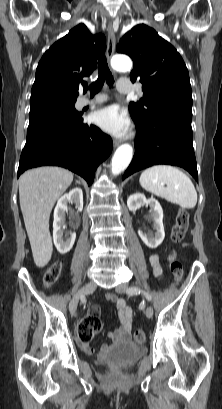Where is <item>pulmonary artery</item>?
Masks as SVG:
<instances>
[{
	"instance_id": "obj_1",
	"label": "pulmonary artery",
	"mask_w": 222,
	"mask_h": 409,
	"mask_svg": "<svg viewBox=\"0 0 222 409\" xmlns=\"http://www.w3.org/2000/svg\"><path fill=\"white\" fill-rule=\"evenodd\" d=\"M117 89L122 94H129L132 91L130 86H128V85H126L124 83H121V82H119L117 84ZM106 100H107L106 96L97 95L92 99H88V98H85V97L81 98L78 103H79L80 107H85V106H88V105H94V104L102 103V102H105Z\"/></svg>"
}]
</instances>
